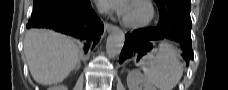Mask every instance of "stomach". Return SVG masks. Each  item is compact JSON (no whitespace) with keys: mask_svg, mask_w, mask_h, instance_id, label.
Listing matches in <instances>:
<instances>
[{"mask_svg":"<svg viewBox=\"0 0 228 90\" xmlns=\"http://www.w3.org/2000/svg\"><path fill=\"white\" fill-rule=\"evenodd\" d=\"M154 51L155 49L153 48L152 44H148L147 48L138 56H136L135 59L138 61V64L142 66L143 62L147 59L148 56L152 55Z\"/></svg>","mask_w":228,"mask_h":90,"instance_id":"obj_1","label":"stomach"}]
</instances>
